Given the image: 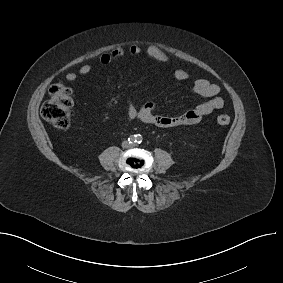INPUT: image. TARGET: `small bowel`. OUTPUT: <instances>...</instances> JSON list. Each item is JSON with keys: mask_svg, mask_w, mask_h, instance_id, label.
Listing matches in <instances>:
<instances>
[{"mask_svg": "<svg viewBox=\"0 0 283 283\" xmlns=\"http://www.w3.org/2000/svg\"><path fill=\"white\" fill-rule=\"evenodd\" d=\"M127 52L134 56L145 53L150 58L162 63H169L171 61L170 56L155 45L143 47L138 44H133L128 48ZM125 54L126 50L124 48L117 47L110 52L103 53L99 60L101 64L108 65L113 61L124 57ZM91 70L92 67L85 64L79 68L78 72L80 75H87ZM77 77V73L69 72L66 75V80L74 82ZM173 78L176 81H186L189 79V73L186 70L178 69L173 73ZM192 92L207 100L181 115H161L156 112V107L153 102H147L138 108L130 102L128 106V116L131 119H139L144 123L157 127L172 128L196 124L200 122L204 116L211 114L215 110L221 109L224 105L223 98L220 96V88L206 79L196 80L193 83Z\"/></svg>", "mask_w": 283, "mask_h": 283, "instance_id": "1", "label": "small bowel"}]
</instances>
